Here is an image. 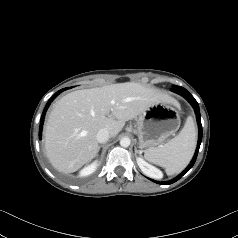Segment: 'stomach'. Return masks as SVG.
<instances>
[{
	"label": "stomach",
	"instance_id": "0dacf381",
	"mask_svg": "<svg viewBox=\"0 0 238 238\" xmlns=\"http://www.w3.org/2000/svg\"><path fill=\"white\" fill-rule=\"evenodd\" d=\"M178 110L167 102H157L143 111L137 121V135L141 148L163 144L180 127Z\"/></svg>",
	"mask_w": 238,
	"mask_h": 238
}]
</instances>
